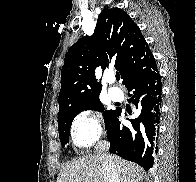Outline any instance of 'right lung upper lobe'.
<instances>
[{
	"instance_id": "right-lung-upper-lobe-1",
	"label": "right lung upper lobe",
	"mask_w": 196,
	"mask_h": 182,
	"mask_svg": "<svg viewBox=\"0 0 196 182\" xmlns=\"http://www.w3.org/2000/svg\"><path fill=\"white\" fill-rule=\"evenodd\" d=\"M153 57L139 27L123 10L104 9L92 36L79 39L66 53L61 70L58 116L70 108L99 97L102 85L95 68L110 62L120 72L123 84Z\"/></svg>"
}]
</instances>
